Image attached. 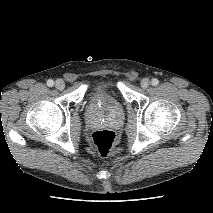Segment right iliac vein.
<instances>
[{
    "label": "right iliac vein",
    "instance_id": "right-iliac-vein-1",
    "mask_svg": "<svg viewBox=\"0 0 213 213\" xmlns=\"http://www.w3.org/2000/svg\"><path fill=\"white\" fill-rule=\"evenodd\" d=\"M55 87L58 89V90H63L65 88V82L61 79H58L56 80L55 82Z\"/></svg>",
    "mask_w": 213,
    "mask_h": 213
}]
</instances>
